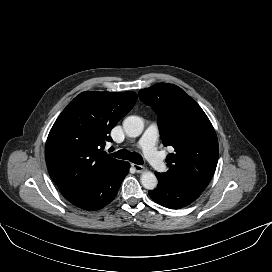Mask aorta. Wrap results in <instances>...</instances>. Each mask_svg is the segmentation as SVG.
<instances>
[{
    "mask_svg": "<svg viewBox=\"0 0 272 272\" xmlns=\"http://www.w3.org/2000/svg\"><path fill=\"white\" fill-rule=\"evenodd\" d=\"M123 129L127 136L138 137L144 129L143 120L138 116H129L123 121ZM141 183L144 188L153 190L157 187L158 180L154 173L145 171L141 175Z\"/></svg>",
    "mask_w": 272,
    "mask_h": 272,
    "instance_id": "762f6f07",
    "label": "aorta"
}]
</instances>
